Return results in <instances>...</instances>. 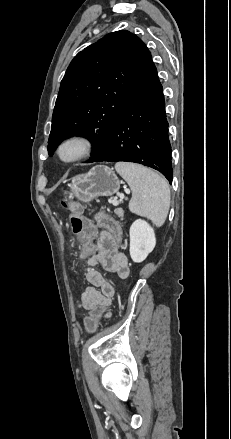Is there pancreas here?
Masks as SVG:
<instances>
[{
	"instance_id": "1",
	"label": "pancreas",
	"mask_w": 231,
	"mask_h": 439,
	"mask_svg": "<svg viewBox=\"0 0 231 439\" xmlns=\"http://www.w3.org/2000/svg\"><path fill=\"white\" fill-rule=\"evenodd\" d=\"M116 213L118 214V216L120 217L121 220H123V211L118 209L116 210Z\"/></svg>"
}]
</instances>
